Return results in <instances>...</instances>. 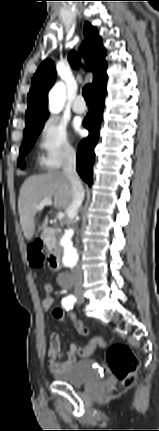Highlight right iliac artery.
Instances as JSON below:
<instances>
[{"label": "right iliac artery", "mask_w": 159, "mask_h": 431, "mask_svg": "<svg viewBox=\"0 0 159 431\" xmlns=\"http://www.w3.org/2000/svg\"><path fill=\"white\" fill-rule=\"evenodd\" d=\"M76 302V298L73 295H69L68 297L62 300V305L66 310L72 309L74 303Z\"/></svg>", "instance_id": "obj_1"}]
</instances>
